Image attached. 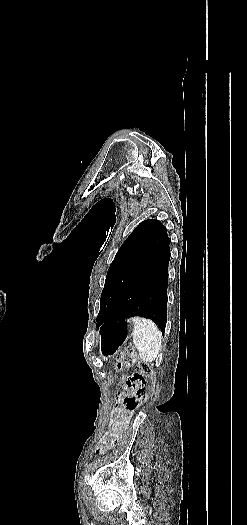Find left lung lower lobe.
Wrapping results in <instances>:
<instances>
[{"label":"left lung lower lobe","mask_w":247,"mask_h":525,"mask_svg":"<svg viewBox=\"0 0 247 525\" xmlns=\"http://www.w3.org/2000/svg\"><path fill=\"white\" fill-rule=\"evenodd\" d=\"M169 238L166 233L146 269L107 312L102 323L142 316L158 324L164 334L167 321Z\"/></svg>","instance_id":"obj_1"}]
</instances>
